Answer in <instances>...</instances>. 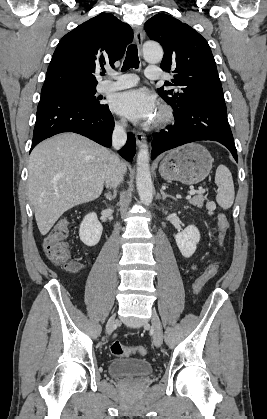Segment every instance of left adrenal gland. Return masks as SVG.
<instances>
[{
	"instance_id": "left-adrenal-gland-1",
	"label": "left adrenal gland",
	"mask_w": 267,
	"mask_h": 419,
	"mask_svg": "<svg viewBox=\"0 0 267 419\" xmlns=\"http://www.w3.org/2000/svg\"><path fill=\"white\" fill-rule=\"evenodd\" d=\"M160 193L162 195V200H165L166 198H172L176 200V198H174L173 196L166 194L163 189L160 190Z\"/></svg>"
}]
</instances>
